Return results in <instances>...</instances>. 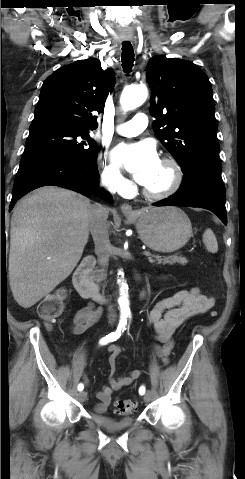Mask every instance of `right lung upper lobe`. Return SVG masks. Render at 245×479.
<instances>
[{
  "mask_svg": "<svg viewBox=\"0 0 245 479\" xmlns=\"http://www.w3.org/2000/svg\"><path fill=\"white\" fill-rule=\"evenodd\" d=\"M115 84L111 69L103 71L97 59L78 60L48 76L41 88L30 127L65 125L93 130L98 127L108 93Z\"/></svg>",
  "mask_w": 245,
  "mask_h": 479,
  "instance_id": "obj_1",
  "label": "right lung upper lobe"
}]
</instances>
